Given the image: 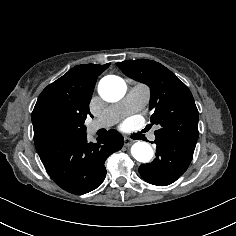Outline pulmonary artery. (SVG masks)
<instances>
[{
    "label": "pulmonary artery",
    "mask_w": 236,
    "mask_h": 236,
    "mask_svg": "<svg viewBox=\"0 0 236 236\" xmlns=\"http://www.w3.org/2000/svg\"><path fill=\"white\" fill-rule=\"evenodd\" d=\"M141 90L147 94V90L141 86L134 88L130 92V94L127 96V98L125 99L124 102H122L118 105H115L107 110L106 117L95 119V120H92L91 122H89L88 123V131L90 133H93L100 128H106V127H110V126L114 125L117 122V118L114 115L118 112L123 114L124 111H126L127 113L123 114V115H128L129 113L136 112V111L132 110L136 104L135 95ZM150 139L152 141L155 140V135L151 134Z\"/></svg>",
    "instance_id": "1"
}]
</instances>
